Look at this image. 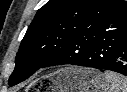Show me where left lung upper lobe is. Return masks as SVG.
Instances as JSON below:
<instances>
[{"label": "left lung upper lobe", "instance_id": "1", "mask_svg": "<svg viewBox=\"0 0 127 92\" xmlns=\"http://www.w3.org/2000/svg\"><path fill=\"white\" fill-rule=\"evenodd\" d=\"M124 3L123 0H49L37 12L21 42L9 85L29 78L77 33Z\"/></svg>", "mask_w": 127, "mask_h": 92}]
</instances>
